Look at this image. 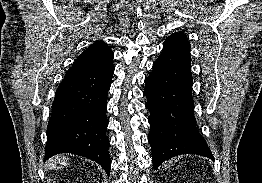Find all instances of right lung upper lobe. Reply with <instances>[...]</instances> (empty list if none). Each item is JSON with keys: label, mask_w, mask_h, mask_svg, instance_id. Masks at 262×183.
<instances>
[{"label": "right lung upper lobe", "mask_w": 262, "mask_h": 183, "mask_svg": "<svg viewBox=\"0 0 262 183\" xmlns=\"http://www.w3.org/2000/svg\"><path fill=\"white\" fill-rule=\"evenodd\" d=\"M113 52L103 41L95 42L80 54L72 66L76 67H102L113 61Z\"/></svg>", "instance_id": "cb5924a9"}]
</instances>
